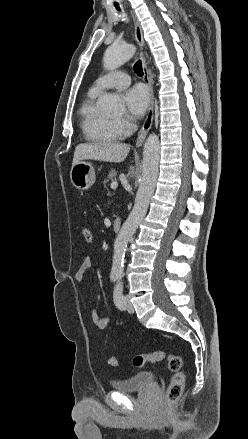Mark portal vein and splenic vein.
Here are the masks:
<instances>
[{
    "mask_svg": "<svg viewBox=\"0 0 248 439\" xmlns=\"http://www.w3.org/2000/svg\"><path fill=\"white\" fill-rule=\"evenodd\" d=\"M117 186H118V183L116 181L111 183V189L115 190L117 188Z\"/></svg>",
    "mask_w": 248,
    "mask_h": 439,
    "instance_id": "portal-vein-and-splenic-vein-1",
    "label": "portal vein and splenic vein"
}]
</instances>
